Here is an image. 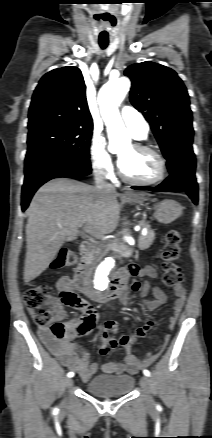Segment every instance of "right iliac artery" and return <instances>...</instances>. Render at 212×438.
Here are the masks:
<instances>
[{
  "instance_id": "right-iliac-artery-1",
  "label": "right iliac artery",
  "mask_w": 212,
  "mask_h": 438,
  "mask_svg": "<svg viewBox=\"0 0 212 438\" xmlns=\"http://www.w3.org/2000/svg\"><path fill=\"white\" fill-rule=\"evenodd\" d=\"M67 376L68 377H73L74 376V372H69L68 374H67ZM56 410V409H55Z\"/></svg>"
}]
</instances>
